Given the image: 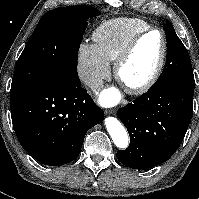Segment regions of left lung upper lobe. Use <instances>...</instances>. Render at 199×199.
<instances>
[{"instance_id": "left-lung-upper-lobe-1", "label": "left lung upper lobe", "mask_w": 199, "mask_h": 199, "mask_svg": "<svg viewBox=\"0 0 199 199\" xmlns=\"http://www.w3.org/2000/svg\"><path fill=\"white\" fill-rule=\"evenodd\" d=\"M167 41V60L162 74L150 89H158L174 82H194L190 56L177 36L171 22L164 24Z\"/></svg>"}]
</instances>
